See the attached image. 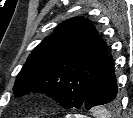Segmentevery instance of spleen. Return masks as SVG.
I'll use <instances>...</instances> for the list:
<instances>
[{
    "label": "spleen",
    "mask_w": 133,
    "mask_h": 118,
    "mask_svg": "<svg viewBox=\"0 0 133 118\" xmlns=\"http://www.w3.org/2000/svg\"><path fill=\"white\" fill-rule=\"evenodd\" d=\"M100 116L101 118H106L108 115L104 113V114H101Z\"/></svg>",
    "instance_id": "spleen-1"
}]
</instances>
